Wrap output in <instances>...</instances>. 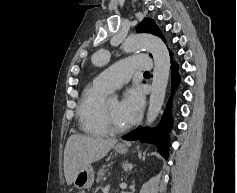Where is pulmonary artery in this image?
Here are the masks:
<instances>
[{"instance_id":"1","label":"pulmonary artery","mask_w":237,"mask_h":193,"mask_svg":"<svg viewBox=\"0 0 237 193\" xmlns=\"http://www.w3.org/2000/svg\"><path fill=\"white\" fill-rule=\"evenodd\" d=\"M151 68V60L147 56L126 58L100 73L95 80L107 89L113 90L127 83L133 72L149 71Z\"/></svg>"}]
</instances>
